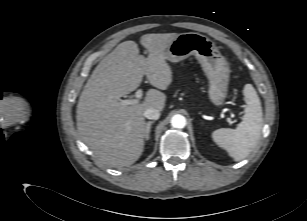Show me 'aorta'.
Segmentation results:
<instances>
[{"label": "aorta", "instance_id": "obj_1", "mask_svg": "<svg viewBox=\"0 0 307 221\" xmlns=\"http://www.w3.org/2000/svg\"><path fill=\"white\" fill-rule=\"evenodd\" d=\"M171 125L174 128H184L186 125V118L183 115L176 114L171 118Z\"/></svg>", "mask_w": 307, "mask_h": 221}]
</instances>
